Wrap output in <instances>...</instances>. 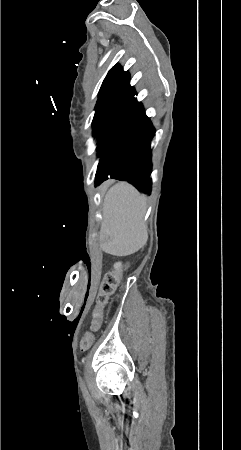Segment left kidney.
<instances>
[{
    "label": "left kidney",
    "mask_w": 241,
    "mask_h": 450,
    "mask_svg": "<svg viewBox=\"0 0 241 450\" xmlns=\"http://www.w3.org/2000/svg\"><path fill=\"white\" fill-rule=\"evenodd\" d=\"M114 268H117V270H120V268H122L121 262H117V264H114Z\"/></svg>",
    "instance_id": "obj_1"
}]
</instances>
